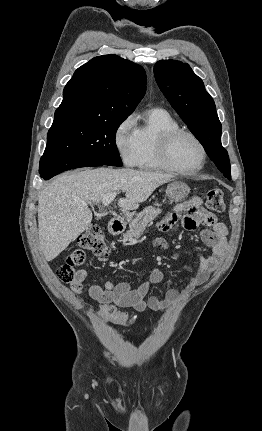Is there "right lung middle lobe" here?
Masks as SVG:
<instances>
[{
  "instance_id": "dd1d6c3e",
  "label": "right lung middle lobe",
  "mask_w": 262,
  "mask_h": 431,
  "mask_svg": "<svg viewBox=\"0 0 262 431\" xmlns=\"http://www.w3.org/2000/svg\"><path fill=\"white\" fill-rule=\"evenodd\" d=\"M125 120H77L52 125L43 157H72L122 166L115 135Z\"/></svg>"
}]
</instances>
